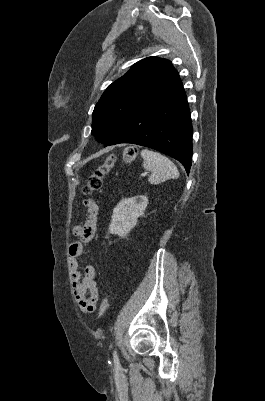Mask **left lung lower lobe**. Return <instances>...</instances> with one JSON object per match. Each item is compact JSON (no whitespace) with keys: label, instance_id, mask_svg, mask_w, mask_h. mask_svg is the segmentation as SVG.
<instances>
[{"label":"left lung lower lobe","instance_id":"left-lung-lower-lobe-1","mask_svg":"<svg viewBox=\"0 0 265 401\" xmlns=\"http://www.w3.org/2000/svg\"><path fill=\"white\" fill-rule=\"evenodd\" d=\"M192 122L180 78L141 108L105 146L132 143L180 161L187 173L192 158Z\"/></svg>","mask_w":265,"mask_h":401}]
</instances>
